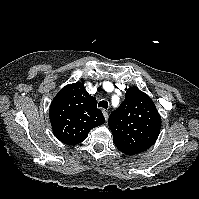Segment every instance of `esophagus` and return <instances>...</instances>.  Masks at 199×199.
Instances as JSON below:
<instances>
[{
    "instance_id": "34e87169",
    "label": "esophagus",
    "mask_w": 199,
    "mask_h": 199,
    "mask_svg": "<svg viewBox=\"0 0 199 199\" xmlns=\"http://www.w3.org/2000/svg\"><path fill=\"white\" fill-rule=\"evenodd\" d=\"M103 115H104L105 119L107 120L108 119V112L103 110Z\"/></svg>"
}]
</instances>
